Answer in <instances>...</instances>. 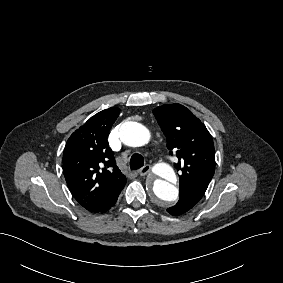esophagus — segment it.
Instances as JSON below:
<instances>
[{
	"label": "esophagus",
	"mask_w": 283,
	"mask_h": 283,
	"mask_svg": "<svg viewBox=\"0 0 283 283\" xmlns=\"http://www.w3.org/2000/svg\"><path fill=\"white\" fill-rule=\"evenodd\" d=\"M150 171H151V166L150 165H145L142 168H140L137 172L141 176H144V175L148 174Z\"/></svg>",
	"instance_id": "34e87169"
}]
</instances>
